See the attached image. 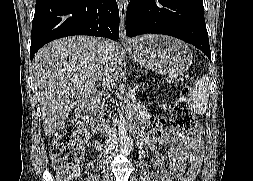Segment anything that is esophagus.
I'll return each instance as SVG.
<instances>
[{
	"label": "esophagus",
	"mask_w": 253,
	"mask_h": 181,
	"mask_svg": "<svg viewBox=\"0 0 253 181\" xmlns=\"http://www.w3.org/2000/svg\"><path fill=\"white\" fill-rule=\"evenodd\" d=\"M127 0H118L119 15H120V38L122 41H127L125 36V17L127 11Z\"/></svg>",
	"instance_id": "34e87169"
}]
</instances>
